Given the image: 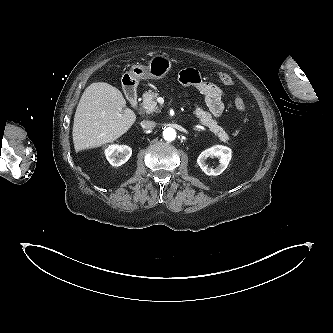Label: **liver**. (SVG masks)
Masks as SVG:
<instances>
[{
    "label": "liver",
    "mask_w": 333,
    "mask_h": 333,
    "mask_svg": "<svg viewBox=\"0 0 333 333\" xmlns=\"http://www.w3.org/2000/svg\"><path fill=\"white\" fill-rule=\"evenodd\" d=\"M136 121L126 108L120 90L104 82H94L83 92L73 124L76 152L111 143L126 133Z\"/></svg>",
    "instance_id": "6515ba94"
}]
</instances>
